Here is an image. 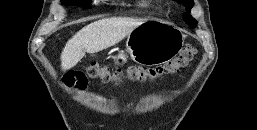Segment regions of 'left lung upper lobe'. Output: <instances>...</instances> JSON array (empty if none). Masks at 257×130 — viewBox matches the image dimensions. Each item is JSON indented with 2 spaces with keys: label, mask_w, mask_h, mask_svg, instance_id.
Segmentation results:
<instances>
[{
  "label": "left lung upper lobe",
  "mask_w": 257,
  "mask_h": 130,
  "mask_svg": "<svg viewBox=\"0 0 257 130\" xmlns=\"http://www.w3.org/2000/svg\"><path fill=\"white\" fill-rule=\"evenodd\" d=\"M182 5L185 6L187 12L189 13L191 8L193 7L194 5V2L193 0H178ZM186 13L184 15V21L191 27H195L196 26V23L195 21L192 19V17L190 16V14Z\"/></svg>",
  "instance_id": "left-lung-upper-lobe-1"
}]
</instances>
